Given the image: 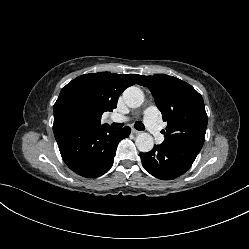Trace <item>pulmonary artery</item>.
Here are the masks:
<instances>
[{"mask_svg": "<svg viewBox=\"0 0 249 249\" xmlns=\"http://www.w3.org/2000/svg\"><path fill=\"white\" fill-rule=\"evenodd\" d=\"M144 123L155 141L159 144L163 143L164 137L161 132V125L158 118V109L155 106H149L143 111ZM119 120L128 121L130 117L119 116Z\"/></svg>", "mask_w": 249, "mask_h": 249, "instance_id": "obj_1", "label": "pulmonary artery"}]
</instances>
